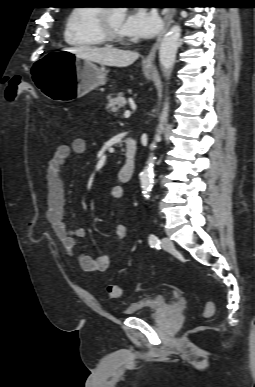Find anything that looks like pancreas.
Returning a JSON list of instances; mask_svg holds the SVG:
<instances>
[{
    "label": "pancreas",
    "instance_id": "cf45deb5",
    "mask_svg": "<svg viewBox=\"0 0 255 387\" xmlns=\"http://www.w3.org/2000/svg\"><path fill=\"white\" fill-rule=\"evenodd\" d=\"M108 108L115 114L119 113L120 109L126 105V99L122 93H119L117 97L111 98L108 96Z\"/></svg>",
    "mask_w": 255,
    "mask_h": 387
}]
</instances>
